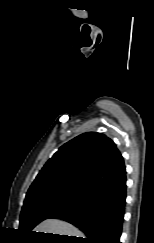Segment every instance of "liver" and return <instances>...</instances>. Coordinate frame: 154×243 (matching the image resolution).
Wrapping results in <instances>:
<instances>
[{
	"mask_svg": "<svg viewBox=\"0 0 154 243\" xmlns=\"http://www.w3.org/2000/svg\"><path fill=\"white\" fill-rule=\"evenodd\" d=\"M34 231L75 237L83 236L82 232L76 227L58 219L44 220L35 228Z\"/></svg>",
	"mask_w": 154,
	"mask_h": 243,
	"instance_id": "1",
	"label": "liver"
}]
</instances>
